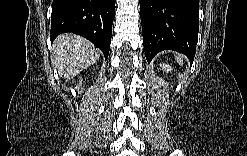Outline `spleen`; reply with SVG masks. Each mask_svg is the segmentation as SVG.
<instances>
[{"mask_svg": "<svg viewBox=\"0 0 247 156\" xmlns=\"http://www.w3.org/2000/svg\"><path fill=\"white\" fill-rule=\"evenodd\" d=\"M175 59L177 60V62H178L179 64H182V63H183V57H182V55L177 54V55L175 56Z\"/></svg>", "mask_w": 247, "mask_h": 156, "instance_id": "spleen-1", "label": "spleen"}]
</instances>
